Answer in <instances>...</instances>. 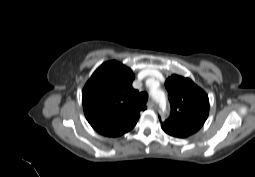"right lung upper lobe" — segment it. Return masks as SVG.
<instances>
[{
    "label": "right lung upper lobe",
    "mask_w": 255,
    "mask_h": 177,
    "mask_svg": "<svg viewBox=\"0 0 255 177\" xmlns=\"http://www.w3.org/2000/svg\"><path fill=\"white\" fill-rule=\"evenodd\" d=\"M132 70L118 61H109L96 69L82 91L86 119L98 133L117 137L130 131L145 105L136 102Z\"/></svg>",
    "instance_id": "1"
}]
</instances>
